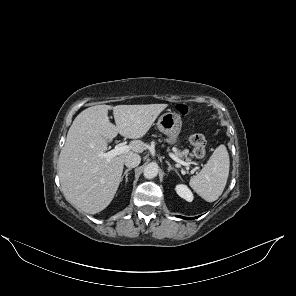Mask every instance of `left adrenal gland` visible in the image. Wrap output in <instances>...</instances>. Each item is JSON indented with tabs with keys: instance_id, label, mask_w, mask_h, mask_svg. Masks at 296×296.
I'll list each match as a JSON object with an SVG mask.
<instances>
[{
	"instance_id": "1",
	"label": "left adrenal gland",
	"mask_w": 296,
	"mask_h": 296,
	"mask_svg": "<svg viewBox=\"0 0 296 296\" xmlns=\"http://www.w3.org/2000/svg\"><path fill=\"white\" fill-rule=\"evenodd\" d=\"M167 165H168V172H170L171 170L175 171L177 173V175L179 176L178 171L168 162L166 161Z\"/></svg>"
}]
</instances>
